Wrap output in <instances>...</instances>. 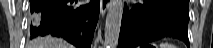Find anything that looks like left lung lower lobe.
Returning <instances> with one entry per match:
<instances>
[{
	"mask_svg": "<svg viewBox=\"0 0 213 48\" xmlns=\"http://www.w3.org/2000/svg\"><path fill=\"white\" fill-rule=\"evenodd\" d=\"M189 0H141L125 4L118 48H135L164 36H173L189 47Z\"/></svg>",
	"mask_w": 213,
	"mask_h": 48,
	"instance_id": "1",
	"label": "left lung lower lobe"
}]
</instances>
